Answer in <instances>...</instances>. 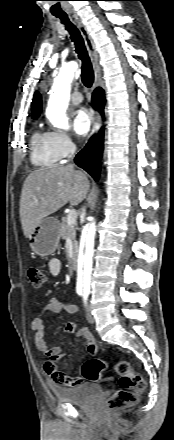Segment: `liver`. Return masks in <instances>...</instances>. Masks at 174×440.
I'll return each mask as SVG.
<instances>
[{"instance_id": "liver-1", "label": "liver", "mask_w": 174, "mask_h": 440, "mask_svg": "<svg viewBox=\"0 0 174 440\" xmlns=\"http://www.w3.org/2000/svg\"><path fill=\"white\" fill-rule=\"evenodd\" d=\"M90 183L86 174L72 165L40 168L24 181L20 198V220L24 236L29 238L35 227L47 216L70 202L81 203Z\"/></svg>"}]
</instances>
